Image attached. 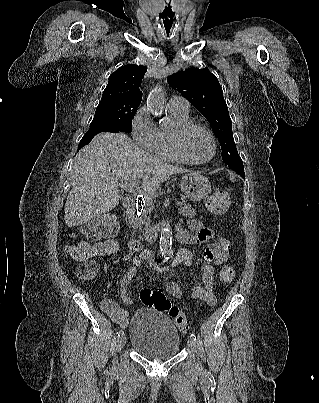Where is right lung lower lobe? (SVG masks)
<instances>
[{
  "instance_id": "right-lung-lower-lobe-1",
  "label": "right lung lower lobe",
  "mask_w": 319,
  "mask_h": 403,
  "mask_svg": "<svg viewBox=\"0 0 319 403\" xmlns=\"http://www.w3.org/2000/svg\"><path fill=\"white\" fill-rule=\"evenodd\" d=\"M120 131L125 132V131L122 130V129H93V130H88V131L86 132V134L83 136V138L81 139L80 145L78 146V150H79L80 148L84 147L85 145H87V144L92 140V138H93L96 134H98V133H100V132H120Z\"/></svg>"
}]
</instances>
